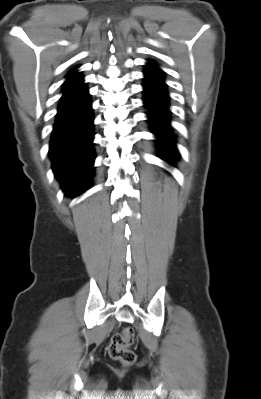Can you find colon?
<instances>
[{
  "mask_svg": "<svg viewBox=\"0 0 261 399\" xmlns=\"http://www.w3.org/2000/svg\"><path fill=\"white\" fill-rule=\"evenodd\" d=\"M134 341L135 332L131 327H126L121 332L115 333L107 346L109 356L124 365L133 364L136 356L129 347Z\"/></svg>",
  "mask_w": 261,
  "mask_h": 399,
  "instance_id": "5ec220e1",
  "label": "colon"
}]
</instances>
